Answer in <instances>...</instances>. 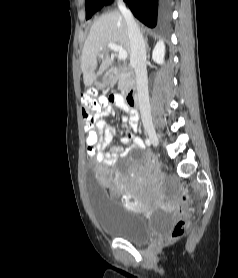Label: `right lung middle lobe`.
I'll list each match as a JSON object with an SVG mask.
<instances>
[{"instance_id":"right-lung-middle-lobe-1","label":"right lung middle lobe","mask_w":238,"mask_h":278,"mask_svg":"<svg viewBox=\"0 0 238 278\" xmlns=\"http://www.w3.org/2000/svg\"><path fill=\"white\" fill-rule=\"evenodd\" d=\"M104 4V0H86V20L91 18Z\"/></svg>"}]
</instances>
